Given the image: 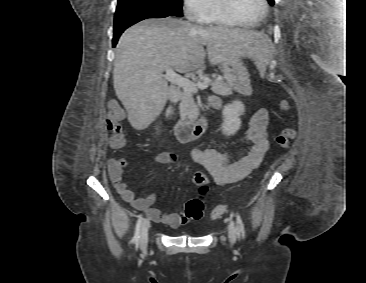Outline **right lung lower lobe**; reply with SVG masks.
Returning a JSON list of instances; mask_svg holds the SVG:
<instances>
[{
  "mask_svg": "<svg viewBox=\"0 0 366 283\" xmlns=\"http://www.w3.org/2000/svg\"><path fill=\"white\" fill-rule=\"evenodd\" d=\"M171 16L157 9H141L115 13L113 46L116 45L121 33L131 25L147 18H164Z\"/></svg>",
  "mask_w": 366,
  "mask_h": 283,
  "instance_id": "right-lung-lower-lobe-1",
  "label": "right lung lower lobe"
}]
</instances>
